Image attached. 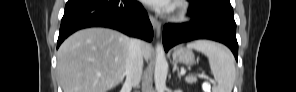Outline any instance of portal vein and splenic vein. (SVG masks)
I'll use <instances>...</instances> for the list:
<instances>
[{
  "instance_id": "obj_1",
  "label": "portal vein and splenic vein",
  "mask_w": 296,
  "mask_h": 92,
  "mask_svg": "<svg viewBox=\"0 0 296 92\" xmlns=\"http://www.w3.org/2000/svg\"><path fill=\"white\" fill-rule=\"evenodd\" d=\"M181 74H182V75L185 74V71H182Z\"/></svg>"
}]
</instances>
